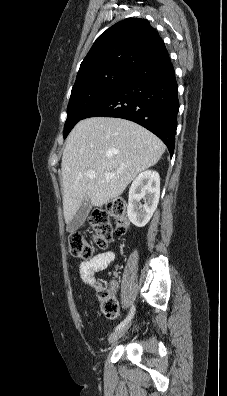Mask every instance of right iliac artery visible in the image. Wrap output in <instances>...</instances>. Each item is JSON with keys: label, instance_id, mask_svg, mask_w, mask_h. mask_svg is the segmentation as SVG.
<instances>
[{"label": "right iliac artery", "instance_id": "obj_1", "mask_svg": "<svg viewBox=\"0 0 227 396\" xmlns=\"http://www.w3.org/2000/svg\"><path fill=\"white\" fill-rule=\"evenodd\" d=\"M135 314V307L134 305H132L129 314L127 315V317L116 327V330L121 329L122 327H124L125 325H127L131 319L133 318Z\"/></svg>", "mask_w": 227, "mask_h": 396}]
</instances>
